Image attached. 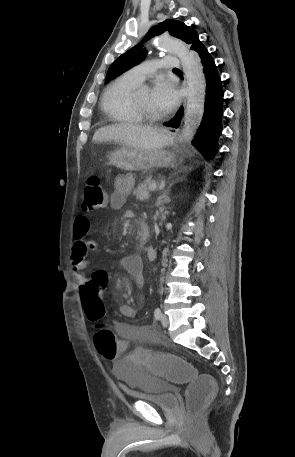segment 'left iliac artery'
<instances>
[{"instance_id":"1","label":"left iliac artery","mask_w":295,"mask_h":457,"mask_svg":"<svg viewBox=\"0 0 295 457\" xmlns=\"http://www.w3.org/2000/svg\"><path fill=\"white\" fill-rule=\"evenodd\" d=\"M161 315H162V314H161L160 308H156L155 311H154V317H155V319H156V320H159L160 317H161Z\"/></svg>"}]
</instances>
